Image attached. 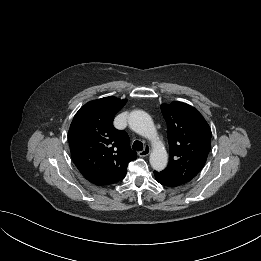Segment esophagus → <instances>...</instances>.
Here are the masks:
<instances>
[{"label": "esophagus", "mask_w": 261, "mask_h": 261, "mask_svg": "<svg viewBox=\"0 0 261 261\" xmlns=\"http://www.w3.org/2000/svg\"><path fill=\"white\" fill-rule=\"evenodd\" d=\"M150 154V147L149 146H145L144 149L142 151L138 152V155L140 157H146Z\"/></svg>", "instance_id": "esophagus-1"}]
</instances>
